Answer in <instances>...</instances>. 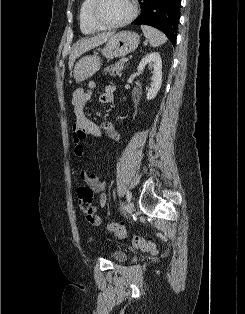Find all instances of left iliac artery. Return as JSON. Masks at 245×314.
Masks as SVG:
<instances>
[{
  "mask_svg": "<svg viewBox=\"0 0 245 314\" xmlns=\"http://www.w3.org/2000/svg\"><path fill=\"white\" fill-rule=\"evenodd\" d=\"M131 193L129 192V191H127V199L130 201V199H131Z\"/></svg>",
  "mask_w": 245,
  "mask_h": 314,
  "instance_id": "obj_1",
  "label": "left iliac artery"
}]
</instances>
